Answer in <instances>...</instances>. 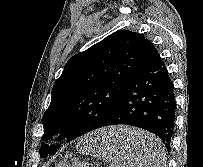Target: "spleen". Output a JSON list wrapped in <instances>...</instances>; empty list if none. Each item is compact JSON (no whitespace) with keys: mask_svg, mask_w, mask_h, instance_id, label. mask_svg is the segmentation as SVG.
<instances>
[{"mask_svg":"<svg viewBox=\"0 0 203 167\" xmlns=\"http://www.w3.org/2000/svg\"><path fill=\"white\" fill-rule=\"evenodd\" d=\"M109 136L99 132L90 134L84 141L82 152L91 153L104 162H111L109 167H165L166 155L161 142L154 136L146 140L141 149H136L138 155L131 154L129 144L110 148L107 145ZM115 149H125L122 155L116 154Z\"/></svg>","mask_w":203,"mask_h":167,"instance_id":"3e777b00","label":"spleen"}]
</instances>
